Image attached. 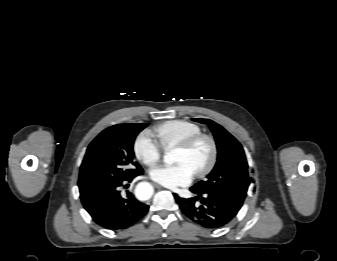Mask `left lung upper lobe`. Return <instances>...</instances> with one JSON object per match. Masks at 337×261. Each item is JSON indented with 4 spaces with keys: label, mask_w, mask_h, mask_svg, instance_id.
Instances as JSON below:
<instances>
[{
    "label": "left lung upper lobe",
    "mask_w": 337,
    "mask_h": 261,
    "mask_svg": "<svg viewBox=\"0 0 337 261\" xmlns=\"http://www.w3.org/2000/svg\"><path fill=\"white\" fill-rule=\"evenodd\" d=\"M207 124L213 132L218 157L217 163L207 180L193 187L199 193L215 194L240 209L250 184L248 164L241 144L222 126L209 119H193Z\"/></svg>",
    "instance_id": "1"
}]
</instances>
